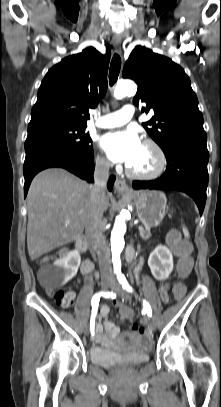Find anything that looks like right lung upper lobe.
<instances>
[{"label": "right lung upper lobe", "mask_w": 221, "mask_h": 407, "mask_svg": "<svg viewBox=\"0 0 221 407\" xmlns=\"http://www.w3.org/2000/svg\"><path fill=\"white\" fill-rule=\"evenodd\" d=\"M109 60V53L102 55L89 47L53 66L40 85L28 128L48 124L87 126L89 108L106 93Z\"/></svg>", "instance_id": "1"}]
</instances>
